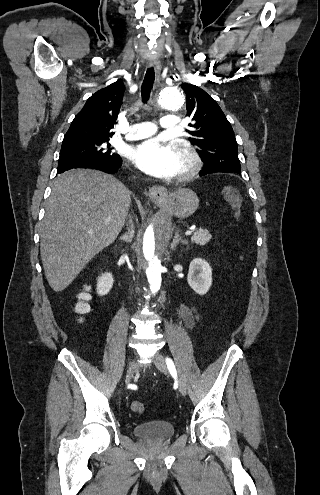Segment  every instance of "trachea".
<instances>
[{
	"instance_id": "trachea-1",
	"label": "trachea",
	"mask_w": 320,
	"mask_h": 495,
	"mask_svg": "<svg viewBox=\"0 0 320 495\" xmlns=\"http://www.w3.org/2000/svg\"><path fill=\"white\" fill-rule=\"evenodd\" d=\"M155 80V72L153 68H149L146 71L142 87H141V96L143 103H146L149 99L150 92Z\"/></svg>"
}]
</instances>
